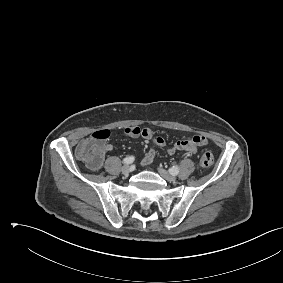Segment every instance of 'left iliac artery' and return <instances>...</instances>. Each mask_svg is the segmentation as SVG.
I'll return each mask as SVG.
<instances>
[{
  "label": "left iliac artery",
  "instance_id": "1",
  "mask_svg": "<svg viewBox=\"0 0 283 283\" xmlns=\"http://www.w3.org/2000/svg\"><path fill=\"white\" fill-rule=\"evenodd\" d=\"M170 173L173 175H177L179 173V167L178 165L173 166L172 168L169 169Z\"/></svg>",
  "mask_w": 283,
  "mask_h": 283
}]
</instances>
